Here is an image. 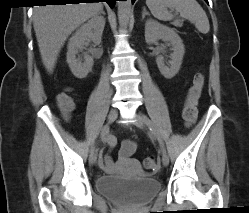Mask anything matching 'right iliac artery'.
<instances>
[{"mask_svg":"<svg viewBox=\"0 0 249 213\" xmlns=\"http://www.w3.org/2000/svg\"><path fill=\"white\" fill-rule=\"evenodd\" d=\"M108 133H109V125H105L101 130L100 138L105 137ZM94 151H95V145L91 147L90 153H93Z\"/></svg>","mask_w":249,"mask_h":213,"instance_id":"1","label":"right iliac artery"}]
</instances>
